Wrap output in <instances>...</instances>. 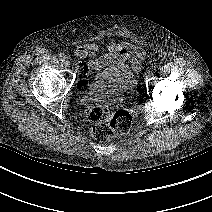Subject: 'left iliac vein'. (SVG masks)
<instances>
[{
    "label": "left iliac vein",
    "instance_id": "obj_1",
    "mask_svg": "<svg viewBox=\"0 0 212 212\" xmlns=\"http://www.w3.org/2000/svg\"><path fill=\"white\" fill-rule=\"evenodd\" d=\"M150 75H151L150 71L147 70V71L145 72V77H149Z\"/></svg>",
    "mask_w": 212,
    "mask_h": 212
}]
</instances>
